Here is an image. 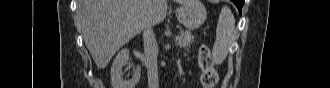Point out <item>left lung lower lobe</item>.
Here are the masks:
<instances>
[{"label":"left lung lower lobe","instance_id":"left-lung-lower-lobe-1","mask_svg":"<svg viewBox=\"0 0 330 88\" xmlns=\"http://www.w3.org/2000/svg\"><path fill=\"white\" fill-rule=\"evenodd\" d=\"M232 2L235 3V5L237 6L239 13L241 14V10H242V6L244 4V0H232Z\"/></svg>","mask_w":330,"mask_h":88}]
</instances>
